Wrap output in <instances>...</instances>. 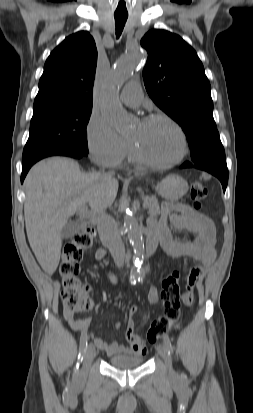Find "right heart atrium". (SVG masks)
Wrapping results in <instances>:
<instances>
[{
    "instance_id": "1",
    "label": "right heart atrium",
    "mask_w": 253,
    "mask_h": 413,
    "mask_svg": "<svg viewBox=\"0 0 253 413\" xmlns=\"http://www.w3.org/2000/svg\"><path fill=\"white\" fill-rule=\"evenodd\" d=\"M91 159L103 166L119 165L130 150V144L99 114L93 113L86 128Z\"/></svg>"
}]
</instances>
